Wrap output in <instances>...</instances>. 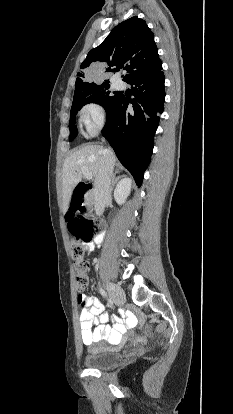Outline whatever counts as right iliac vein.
<instances>
[{"mask_svg":"<svg viewBox=\"0 0 233 414\" xmlns=\"http://www.w3.org/2000/svg\"><path fill=\"white\" fill-rule=\"evenodd\" d=\"M106 287H107V290H108V293L111 299L113 300L115 304L117 305L124 304L126 300V296H125L124 291L119 286L111 282H107Z\"/></svg>","mask_w":233,"mask_h":414,"instance_id":"1","label":"right iliac vein"}]
</instances>
